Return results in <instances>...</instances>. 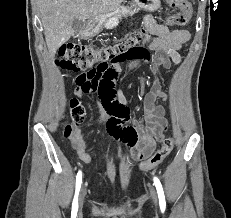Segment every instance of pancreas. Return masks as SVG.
I'll return each mask as SVG.
<instances>
[{"label":"pancreas","mask_w":231,"mask_h":218,"mask_svg":"<svg viewBox=\"0 0 231 218\" xmlns=\"http://www.w3.org/2000/svg\"><path fill=\"white\" fill-rule=\"evenodd\" d=\"M120 18H121V15H114L108 18L104 24V27L106 29H113L114 27L118 25Z\"/></svg>","instance_id":"obj_1"}]
</instances>
